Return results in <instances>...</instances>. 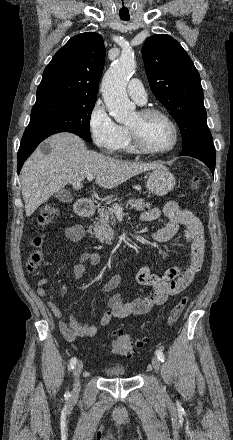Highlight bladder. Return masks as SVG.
I'll return each instance as SVG.
<instances>
[{
  "label": "bladder",
  "instance_id": "obj_1",
  "mask_svg": "<svg viewBox=\"0 0 233 440\" xmlns=\"http://www.w3.org/2000/svg\"><path fill=\"white\" fill-rule=\"evenodd\" d=\"M109 377L123 378L127 376L126 369L122 366H111L106 369Z\"/></svg>",
  "mask_w": 233,
  "mask_h": 440
}]
</instances>
